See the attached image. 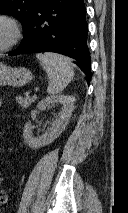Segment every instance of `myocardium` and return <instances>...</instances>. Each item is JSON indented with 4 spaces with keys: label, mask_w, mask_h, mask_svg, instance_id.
Here are the masks:
<instances>
[{
    "label": "myocardium",
    "mask_w": 128,
    "mask_h": 213,
    "mask_svg": "<svg viewBox=\"0 0 128 213\" xmlns=\"http://www.w3.org/2000/svg\"><path fill=\"white\" fill-rule=\"evenodd\" d=\"M0 21L7 23L11 29L10 40L0 47V52H6L14 48L20 42L22 38V27L15 17L6 13H0Z\"/></svg>",
    "instance_id": "obj_1"
}]
</instances>
